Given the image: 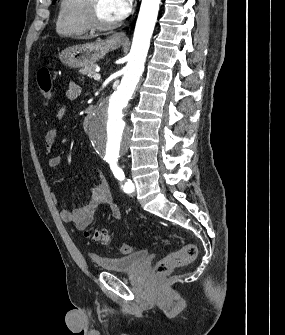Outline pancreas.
Returning <instances> with one entry per match:
<instances>
[{"mask_svg":"<svg viewBox=\"0 0 285 335\" xmlns=\"http://www.w3.org/2000/svg\"><path fill=\"white\" fill-rule=\"evenodd\" d=\"M98 64H90V66H84V68H81L80 74L83 76L84 81L90 80L89 74H94Z\"/></svg>","mask_w":285,"mask_h":335,"instance_id":"pancreas-1","label":"pancreas"}]
</instances>
